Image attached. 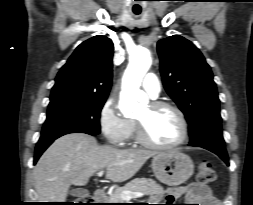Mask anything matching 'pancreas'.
Returning a JSON list of instances; mask_svg holds the SVG:
<instances>
[{
	"mask_svg": "<svg viewBox=\"0 0 253 205\" xmlns=\"http://www.w3.org/2000/svg\"><path fill=\"white\" fill-rule=\"evenodd\" d=\"M123 191L142 192L144 195L149 196L150 201H160L164 195L163 188L153 179L135 178L125 186L112 192L109 203H125L120 197Z\"/></svg>",
	"mask_w": 253,
	"mask_h": 205,
	"instance_id": "1",
	"label": "pancreas"
}]
</instances>
